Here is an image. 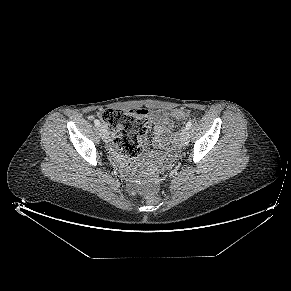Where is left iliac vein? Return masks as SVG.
<instances>
[{
  "label": "left iliac vein",
  "mask_w": 291,
  "mask_h": 291,
  "mask_svg": "<svg viewBox=\"0 0 291 291\" xmlns=\"http://www.w3.org/2000/svg\"><path fill=\"white\" fill-rule=\"evenodd\" d=\"M179 138H180L181 145L185 146L188 144L189 133H188V130L186 129V127L181 130Z\"/></svg>",
  "instance_id": "4c4485c4"
}]
</instances>
